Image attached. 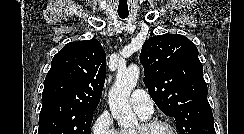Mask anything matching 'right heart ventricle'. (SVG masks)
Returning a JSON list of instances; mask_svg holds the SVG:
<instances>
[{
  "label": "right heart ventricle",
  "instance_id": "obj_1",
  "mask_svg": "<svg viewBox=\"0 0 244 134\" xmlns=\"http://www.w3.org/2000/svg\"><path fill=\"white\" fill-rule=\"evenodd\" d=\"M140 116V118L145 121V120H148L149 117L147 116H143L141 114H138ZM119 134H135V131H131V130H120L119 131Z\"/></svg>",
  "mask_w": 244,
  "mask_h": 134
}]
</instances>
